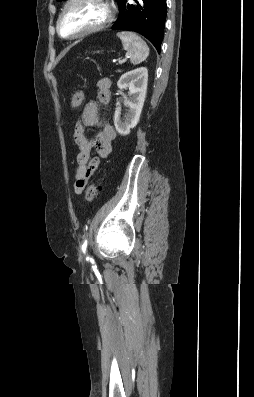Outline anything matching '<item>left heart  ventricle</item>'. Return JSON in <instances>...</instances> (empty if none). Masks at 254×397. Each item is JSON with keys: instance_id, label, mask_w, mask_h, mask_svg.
Listing matches in <instances>:
<instances>
[{"instance_id": "b2bd125f", "label": "left heart ventricle", "mask_w": 254, "mask_h": 397, "mask_svg": "<svg viewBox=\"0 0 254 397\" xmlns=\"http://www.w3.org/2000/svg\"><path fill=\"white\" fill-rule=\"evenodd\" d=\"M105 6L96 0H79L69 7L61 20V32L73 35L101 23L106 17Z\"/></svg>"}]
</instances>
